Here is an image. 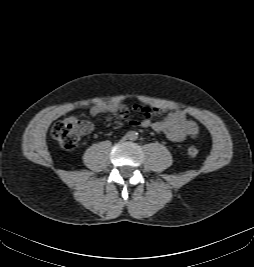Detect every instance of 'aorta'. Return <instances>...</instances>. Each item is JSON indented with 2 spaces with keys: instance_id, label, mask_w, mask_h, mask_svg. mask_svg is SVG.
<instances>
[{
  "instance_id": "obj_1",
  "label": "aorta",
  "mask_w": 254,
  "mask_h": 267,
  "mask_svg": "<svg viewBox=\"0 0 254 267\" xmlns=\"http://www.w3.org/2000/svg\"><path fill=\"white\" fill-rule=\"evenodd\" d=\"M129 138L131 139V140H136L137 139V133L136 132H130L129 133Z\"/></svg>"
}]
</instances>
